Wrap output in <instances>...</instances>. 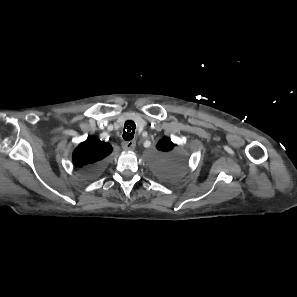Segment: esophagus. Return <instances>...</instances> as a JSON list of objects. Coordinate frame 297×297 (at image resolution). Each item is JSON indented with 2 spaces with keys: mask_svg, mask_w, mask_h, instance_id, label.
<instances>
[{
  "mask_svg": "<svg viewBox=\"0 0 297 297\" xmlns=\"http://www.w3.org/2000/svg\"><path fill=\"white\" fill-rule=\"evenodd\" d=\"M136 147V142L134 140L131 141H123L122 148L126 151H132Z\"/></svg>",
  "mask_w": 297,
  "mask_h": 297,
  "instance_id": "34e87169",
  "label": "esophagus"
}]
</instances>
